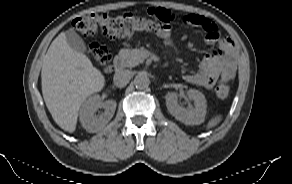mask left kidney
Wrapping results in <instances>:
<instances>
[{
	"mask_svg": "<svg viewBox=\"0 0 292 184\" xmlns=\"http://www.w3.org/2000/svg\"><path fill=\"white\" fill-rule=\"evenodd\" d=\"M187 96L194 101V107L182 108L178 105V95L174 92L167 93L165 96L167 109L172 116L184 124L199 125L204 121L206 115L205 96L195 89L188 90Z\"/></svg>",
	"mask_w": 292,
	"mask_h": 184,
	"instance_id": "obj_1",
	"label": "left kidney"
}]
</instances>
